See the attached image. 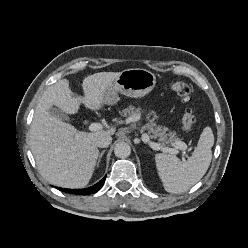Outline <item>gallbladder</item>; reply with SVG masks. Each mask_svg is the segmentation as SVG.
I'll return each mask as SVG.
<instances>
[{
	"label": "gallbladder",
	"instance_id": "obj_1",
	"mask_svg": "<svg viewBox=\"0 0 248 248\" xmlns=\"http://www.w3.org/2000/svg\"><path fill=\"white\" fill-rule=\"evenodd\" d=\"M50 114L53 116H56L58 118H60L61 120H67L69 121V118L59 109L52 107L49 110Z\"/></svg>",
	"mask_w": 248,
	"mask_h": 248
}]
</instances>
